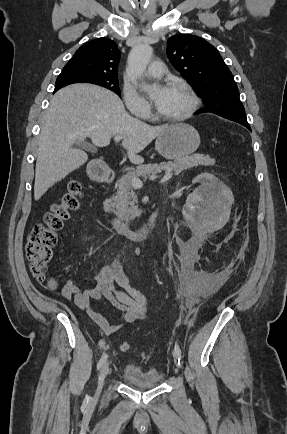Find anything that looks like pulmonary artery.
<instances>
[{
    "label": "pulmonary artery",
    "instance_id": "pulmonary-artery-1",
    "mask_svg": "<svg viewBox=\"0 0 287 434\" xmlns=\"http://www.w3.org/2000/svg\"><path fill=\"white\" fill-rule=\"evenodd\" d=\"M164 73L165 69L162 62L159 60L151 62L146 71V75L152 78H160Z\"/></svg>",
    "mask_w": 287,
    "mask_h": 434
}]
</instances>
